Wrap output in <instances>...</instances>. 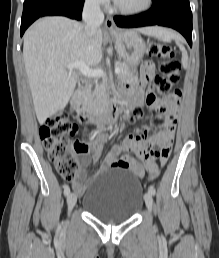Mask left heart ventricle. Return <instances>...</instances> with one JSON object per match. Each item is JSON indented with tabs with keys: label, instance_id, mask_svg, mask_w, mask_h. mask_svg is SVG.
Returning a JSON list of instances; mask_svg holds the SVG:
<instances>
[{
	"label": "left heart ventricle",
	"instance_id": "obj_1",
	"mask_svg": "<svg viewBox=\"0 0 219 258\" xmlns=\"http://www.w3.org/2000/svg\"><path fill=\"white\" fill-rule=\"evenodd\" d=\"M146 0H116V2L125 8H137L142 6Z\"/></svg>",
	"mask_w": 219,
	"mask_h": 258
}]
</instances>
